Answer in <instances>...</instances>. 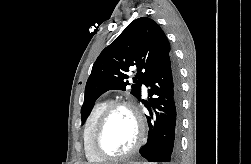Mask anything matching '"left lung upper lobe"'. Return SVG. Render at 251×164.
I'll use <instances>...</instances> for the list:
<instances>
[{
    "mask_svg": "<svg viewBox=\"0 0 251 164\" xmlns=\"http://www.w3.org/2000/svg\"><path fill=\"white\" fill-rule=\"evenodd\" d=\"M171 47L160 26L141 17L132 21L96 59L85 87L81 119L88 116L98 97L108 90H126L129 68L136 67L131 94L141 98V85L169 56Z\"/></svg>",
    "mask_w": 251,
    "mask_h": 164,
    "instance_id": "5c2ea615",
    "label": "left lung upper lobe"
}]
</instances>
